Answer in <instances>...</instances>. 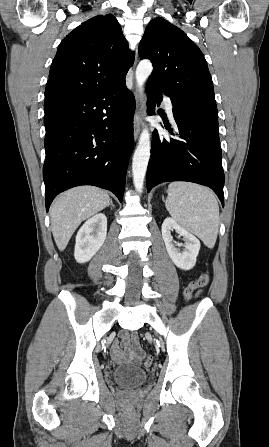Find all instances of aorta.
<instances>
[{"label":"aorta","instance_id":"762f6f07","mask_svg":"<svg viewBox=\"0 0 269 447\" xmlns=\"http://www.w3.org/2000/svg\"><path fill=\"white\" fill-rule=\"evenodd\" d=\"M152 70L153 66L150 60H141V62H139L136 68L135 78L140 92H142L143 86ZM150 138L151 136L147 126H144L139 136L138 146L134 152L132 162L133 184L137 192H142L143 190L144 178L150 160Z\"/></svg>","mask_w":269,"mask_h":447}]
</instances>
